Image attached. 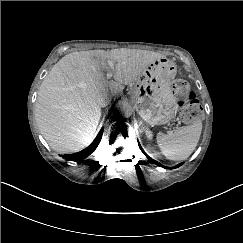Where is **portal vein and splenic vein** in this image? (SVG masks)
Segmentation results:
<instances>
[{"label":"portal vein and splenic vein","mask_w":243,"mask_h":243,"mask_svg":"<svg viewBox=\"0 0 243 243\" xmlns=\"http://www.w3.org/2000/svg\"><path fill=\"white\" fill-rule=\"evenodd\" d=\"M109 66H110V69H111V70L108 72L107 76H108V77H112L113 72H114V64H113L112 61L109 62Z\"/></svg>","instance_id":"obj_1"}]
</instances>
